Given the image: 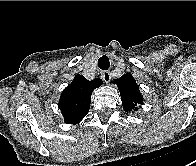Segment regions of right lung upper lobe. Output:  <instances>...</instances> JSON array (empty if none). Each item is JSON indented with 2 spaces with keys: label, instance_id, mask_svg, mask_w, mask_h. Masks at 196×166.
<instances>
[{
  "label": "right lung upper lobe",
  "instance_id": "1",
  "mask_svg": "<svg viewBox=\"0 0 196 166\" xmlns=\"http://www.w3.org/2000/svg\"><path fill=\"white\" fill-rule=\"evenodd\" d=\"M101 85L99 78L89 81L82 75L75 76L63 90L58 103L66 123L76 124L84 118L90 109L92 91Z\"/></svg>",
  "mask_w": 196,
  "mask_h": 166
}]
</instances>
